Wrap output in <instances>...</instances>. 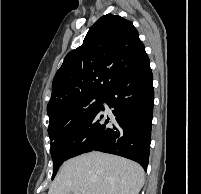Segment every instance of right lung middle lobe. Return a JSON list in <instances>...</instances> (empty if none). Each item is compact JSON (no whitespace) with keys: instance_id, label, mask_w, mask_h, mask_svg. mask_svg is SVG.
Instances as JSON below:
<instances>
[{"instance_id":"obj_1","label":"right lung middle lobe","mask_w":201,"mask_h":194,"mask_svg":"<svg viewBox=\"0 0 201 194\" xmlns=\"http://www.w3.org/2000/svg\"><path fill=\"white\" fill-rule=\"evenodd\" d=\"M103 95L81 99L57 115L50 116L48 134L51 141V156L53 159V176L55 177L59 166L62 164L57 156L63 140L79 125L90 118L100 107Z\"/></svg>"}]
</instances>
